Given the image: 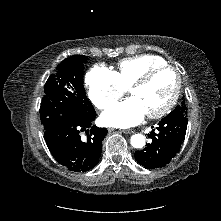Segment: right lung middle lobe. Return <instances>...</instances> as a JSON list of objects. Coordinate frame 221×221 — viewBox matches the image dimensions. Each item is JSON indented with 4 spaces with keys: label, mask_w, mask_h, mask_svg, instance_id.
Instances as JSON below:
<instances>
[{
    "label": "right lung middle lobe",
    "mask_w": 221,
    "mask_h": 221,
    "mask_svg": "<svg viewBox=\"0 0 221 221\" xmlns=\"http://www.w3.org/2000/svg\"><path fill=\"white\" fill-rule=\"evenodd\" d=\"M88 57L74 55L63 60L44 86L40 119L44 129L68 116L85 115L94 111L83 87V69Z\"/></svg>",
    "instance_id": "obj_1"
}]
</instances>
